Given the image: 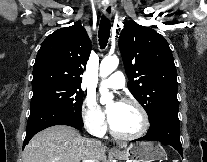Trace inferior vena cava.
<instances>
[{
    "mask_svg": "<svg viewBox=\"0 0 207 162\" xmlns=\"http://www.w3.org/2000/svg\"><path fill=\"white\" fill-rule=\"evenodd\" d=\"M95 141V143L96 144H98V145H101V141H99V140H94ZM91 162H94V161H92V160H90Z\"/></svg>",
    "mask_w": 207,
    "mask_h": 162,
    "instance_id": "1",
    "label": "inferior vena cava"
}]
</instances>
